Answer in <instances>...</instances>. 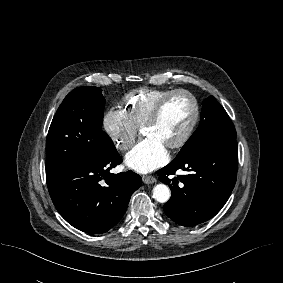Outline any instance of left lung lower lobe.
Here are the masks:
<instances>
[{
  "instance_id": "left-lung-lower-lobe-1",
  "label": "left lung lower lobe",
  "mask_w": 283,
  "mask_h": 283,
  "mask_svg": "<svg viewBox=\"0 0 283 283\" xmlns=\"http://www.w3.org/2000/svg\"><path fill=\"white\" fill-rule=\"evenodd\" d=\"M237 165L236 139L199 146L177 156L157 171L160 181L171 189V198L164 205L166 215L186 227L214 217L234 188ZM177 170L187 174L169 179Z\"/></svg>"
}]
</instances>
